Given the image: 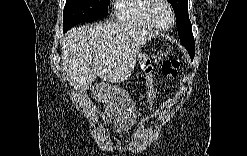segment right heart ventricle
<instances>
[{
	"label": "right heart ventricle",
	"instance_id": "e07e8e85",
	"mask_svg": "<svg viewBox=\"0 0 247 156\" xmlns=\"http://www.w3.org/2000/svg\"><path fill=\"white\" fill-rule=\"evenodd\" d=\"M151 0H122L115 4L116 17L127 24L154 29L148 17V7Z\"/></svg>",
	"mask_w": 247,
	"mask_h": 156
}]
</instances>
